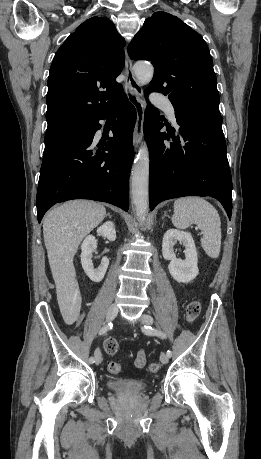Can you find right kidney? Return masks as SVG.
<instances>
[{"instance_id": "ca27d5eb", "label": "right kidney", "mask_w": 261, "mask_h": 459, "mask_svg": "<svg viewBox=\"0 0 261 459\" xmlns=\"http://www.w3.org/2000/svg\"><path fill=\"white\" fill-rule=\"evenodd\" d=\"M97 233L99 235L104 236L109 241H115L116 239L115 226L114 223L111 221H107L103 225H101L97 229ZM96 248L97 240L95 239V237L92 235L87 236L81 245V264L87 276L93 282L98 283L104 278V275L109 265V260L106 257L102 258L100 266L97 269H94L92 263V253Z\"/></svg>"}]
</instances>
